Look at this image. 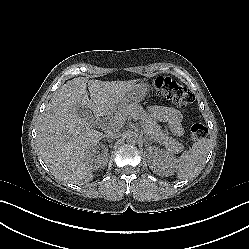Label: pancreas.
Wrapping results in <instances>:
<instances>
[{"instance_id":"obj_1","label":"pancreas","mask_w":249,"mask_h":249,"mask_svg":"<svg viewBox=\"0 0 249 249\" xmlns=\"http://www.w3.org/2000/svg\"><path fill=\"white\" fill-rule=\"evenodd\" d=\"M120 114L123 118L138 119L154 141L165 144L168 148L173 150L179 149L182 146L177 140L164 134L157 121L154 120L141 105L129 104L121 110Z\"/></svg>"}]
</instances>
